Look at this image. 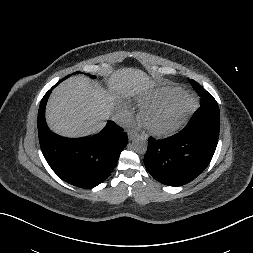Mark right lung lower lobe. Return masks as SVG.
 I'll use <instances>...</instances> for the list:
<instances>
[{
  "instance_id": "1",
  "label": "right lung lower lobe",
  "mask_w": 253,
  "mask_h": 253,
  "mask_svg": "<svg viewBox=\"0 0 253 253\" xmlns=\"http://www.w3.org/2000/svg\"><path fill=\"white\" fill-rule=\"evenodd\" d=\"M56 85L44 95L39 106L41 150L49 166L62 180L80 188H93L115 168L121 151L128 143L127 134L113 121L88 139H68L52 133L45 122V106Z\"/></svg>"
}]
</instances>
